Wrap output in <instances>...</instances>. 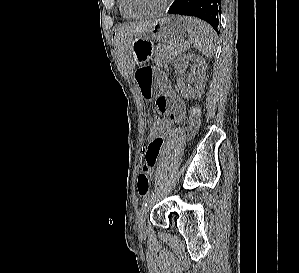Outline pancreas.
<instances>
[{"label":"pancreas","mask_w":299,"mask_h":273,"mask_svg":"<svg viewBox=\"0 0 299 273\" xmlns=\"http://www.w3.org/2000/svg\"><path fill=\"white\" fill-rule=\"evenodd\" d=\"M187 49L183 43H162L158 44L154 51V62L161 66Z\"/></svg>","instance_id":"obj_1"}]
</instances>
